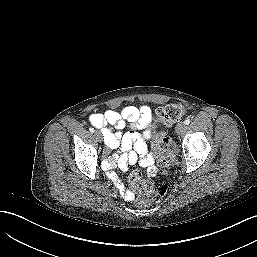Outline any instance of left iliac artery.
I'll return each mask as SVG.
<instances>
[{"label": "left iliac artery", "instance_id": "obj_1", "mask_svg": "<svg viewBox=\"0 0 257 257\" xmlns=\"http://www.w3.org/2000/svg\"><path fill=\"white\" fill-rule=\"evenodd\" d=\"M184 123H185V125H189L190 119H186V120L184 121Z\"/></svg>", "mask_w": 257, "mask_h": 257}]
</instances>
